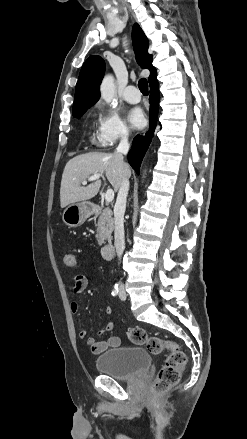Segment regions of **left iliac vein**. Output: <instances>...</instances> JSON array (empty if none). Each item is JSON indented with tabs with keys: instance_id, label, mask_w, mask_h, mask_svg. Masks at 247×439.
<instances>
[{
	"instance_id": "obj_1",
	"label": "left iliac vein",
	"mask_w": 247,
	"mask_h": 439,
	"mask_svg": "<svg viewBox=\"0 0 247 439\" xmlns=\"http://www.w3.org/2000/svg\"><path fill=\"white\" fill-rule=\"evenodd\" d=\"M126 297H127V295H126L125 289H124V288H121L120 293H119V298H120L121 300H125Z\"/></svg>"
}]
</instances>
